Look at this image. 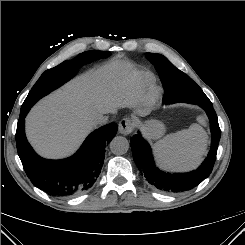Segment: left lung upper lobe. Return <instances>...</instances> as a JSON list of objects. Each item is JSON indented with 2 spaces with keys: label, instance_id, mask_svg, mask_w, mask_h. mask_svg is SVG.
<instances>
[{
  "label": "left lung upper lobe",
  "instance_id": "5c2ea615",
  "mask_svg": "<svg viewBox=\"0 0 245 245\" xmlns=\"http://www.w3.org/2000/svg\"><path fill=\"white\" fill-rule=\"evenodd\" d=\"M146 58L155 66L164 86L167 103L182 102L193 89H201L188 75L177 69L165 56L146 53Z\"/></svg>",
  "mask_w": 245,
  "mask_h": 245
}]
</instances>
